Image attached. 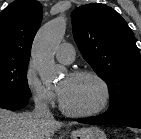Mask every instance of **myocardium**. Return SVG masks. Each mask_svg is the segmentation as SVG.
Instances as JSON below:
<instances>
[{
	"mask_svg": "<svg viewBox=\"0 0 141 139\" xmlns=\"http://www.w3.org/2000/svg\"><path fill=\"white\" fill-rule=\"evenodd\" d=\"M69 76L73 78H79V77H91L95 79L101 86L102 91H103V99L100 105L90 111H74L69 109L65 103L62 100V97L59 93V106L61 111L71 117H76V118H89V117H94L97 116L101 113H103L109 106L110 101H111V90L110 87L107 83V81L97 72L92 71V70H75L72 71Z\"/></svg>",
	"mask_w": 141,
	"mask_h": 139,
	"instance_id": "myocardium-1",
	"label": "myocardium"
}]
</instances>
